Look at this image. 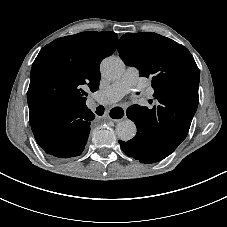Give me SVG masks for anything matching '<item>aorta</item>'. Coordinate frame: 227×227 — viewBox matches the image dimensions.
I'll return each instance as SVG.
<instances>
[{
    "label": "aorta",
    "mask_w": 227,
    "mask_h": 227,
    "mask_svg": "<svg viewBox=\"0 0 227 227\" xmlns=\"http://www.w3.org/2000/svg\"><path fill=\"white\" fill-rule=\"evenodd\" d=\"M124 62L116 56H109L103 59L100 65L101 75L108 80H115L121 77L124 72ZM116 134L122 141H129L136 135V126L129 120H122L116 125Z\"/></svg>",
    "instance_id": "762f6f07"
}]
</instances>
